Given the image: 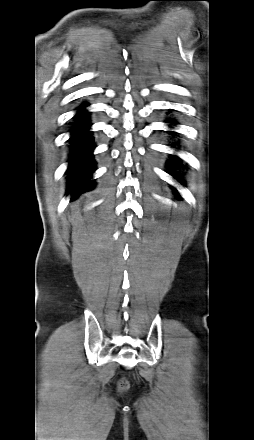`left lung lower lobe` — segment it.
Returning a JSON list of instances; mask_svg holds the SVG:
<instances>
[{
  "mask_svg": "<svg viewBox=\"0 0 254 440\" xmlns=\"http://www.w3.org/2000/svg\"><path fill=\"white\" fill-rule=\"evenodd\" d=\"M171 123H173V122H171ZM182 164V162L180 161V158L179 157H177V156H174V157H170V160H168V165H169V168L170 167H174V166H176V167H178V166H180ZM174 176V178H176L180 183H182V180L180 179V177L178 176V174H175V175H173ZM176 192V191H175ZM177 196L180 198V196L177 194Z\"/></svg>",
  "mask_w": 254,
  "mask_h": 440,
  "instance_id": "0a47b994",
  "label": "left lung lower lobe"
}]
</instances>
